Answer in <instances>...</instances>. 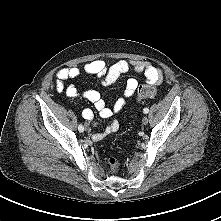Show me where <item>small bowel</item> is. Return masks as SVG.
<instances>
[{"mask_svg":"<svg viewBox=\"0 0 221 221\" xmlns=\"http://www.w3.org/2000/svg\"><path fill=\"white\" fill-rule=\"evenodd\" d=\"M133 70L142 73L147 81L151 84H160L163 79L162 71L152 65L149 61L141 60H119L113 64H108L105 60L96 59L90 61L83 66H69L62 68L56 73V90L64 92L70 98H84L91 102L99 115L103 119H109L114 114L120 112L138 87V81L135 78H129L126 82L123 95L119 97L112 107H108L103 99V95L97 90H85L80 92L74 85H66L69 79L77 78L82 74H90L97 76L104 85L115 83L121 75ZM86 120H93L94 114L91 109H85L82 113ZM119 123L116 120L110 121L107 126L100 132L92 135L94 141H99L105 136L118 130Z\"/></svg>","mask_w":221,"mask_h":221,"instance_id":"small-bowel-1","label":"small bowel"}]
</instances>
